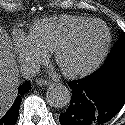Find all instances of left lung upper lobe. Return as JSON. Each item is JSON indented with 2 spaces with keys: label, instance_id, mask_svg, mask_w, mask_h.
<instances>
[{
  "label": "left lung upper lobe",
  "instance_id": "obj_1",
  "mask_svg": "<svg viewBox=\"0 0 125 125\" xmlns=\"http://www.w3.org/2000/svg\"><path fill=\"white\" fill-rule=\"evenodd\" d=\"M125 62V33L123 32L115 44L113 51L108 56L105 65Z\"/></svg>",
  "mask_w": 125,
  "mask_h": 125
}]
</instances>
